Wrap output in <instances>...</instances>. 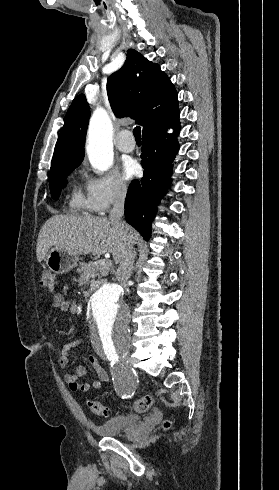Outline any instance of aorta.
<instances>
[{
	"instance_id": "762f6f07",
	"label": "aorta",
	"mask_w": 279,
	"mask_h": 490,
	"mask_svg": "<svg viewBox=\"0 0 279 490\" xmlns=\"http://www.w3.org/2000/svg\"><path fill=\"white\" fill-rule=\"evenodd\" d=\"M113 127L102 108H97L89 122L87 155L91 165L106 171L113 163ZM92 345L100 353L127 344L130 338V312L116 284H103L91 296L87 314Z\"/></svg>"
}]
</instances>
